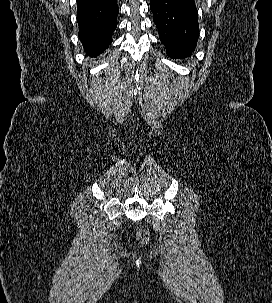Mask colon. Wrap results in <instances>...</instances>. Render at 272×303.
<instances>
[{
	"label": "colon",
	"mask_w": 272,
	"mask_h": 303,
	"mask_svg": "<svg viewBox=\"0 0 272 303\" xmlns=\"http://www.w3.org/2000/svg\"><path fill=\"white\" fill-rule=\"evenodd\" d=\"M136 238L139 242L145 243L149 239V234L147 231L140 229L136 232Z\"/></svg>",
	"instance_id": "colon-1"
}]
</instances>
